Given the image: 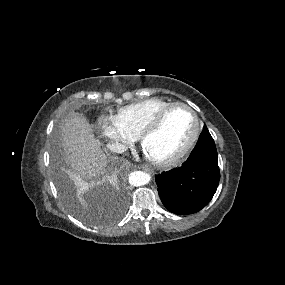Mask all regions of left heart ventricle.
Returning a JSON list of instances; mask_svg holds the SVG:
<instances>
[{
	"mask_svg": "<svg viewBox=\"0 0 285 285\" xmlns=\"http://www.w3.org/2000/svg\"><path fill=\"white\" fill-rule=\"evenodd\" d=\"M194 128V120L188 111L176 108L168 114L158 129L145 138L142 148L150 158L169 159L184 148Z\"/></svg>",
	"mask_w": 285,
	"mask_h": 285,
	"instance_id": "obj_1",
	"label": "left heart ventricle"
}]
</instances>
